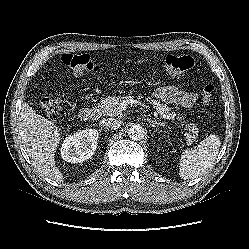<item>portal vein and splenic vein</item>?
<instances>
[{
    "label": "portal vein and splenic vein",
    "instance_id": "18ae733b",
    "mask_svg": "<svg viewBox=\"0 0 249 249\" xmlns=\"http://www.w3.org/2000/svg\"><path fill=\"white\" fill-rule=\"evenodd\" d=\"M129 104H141L138 100L133 99V98H128L126 100H123L120 104H119V109L120 111H123L127 108V106Z\"/></svg>",
    "mask_w": 249,
    "mask_h": 249
}]
</instances>
